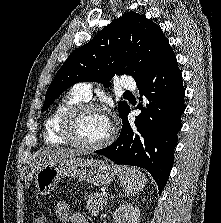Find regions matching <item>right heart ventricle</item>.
<instances>
[{
  "label": "right heart ventricle",
  "instance_id": "1",
  "mask_svg": "<svg viewBox=\"0 0 221 223\" xmlns=\"http://www.w3.org/2000/svg\"><path fill=\"white\" fill-rule=\"evenodd\" d=\"M85 102V99L73 90L65 94L54 106L44 123L43 136L47 144H65L60 135V126L64 114L76 104Z\"/></svg>",
  "mask_w": 221,
  "mask_h": 223
}]
</instances>
